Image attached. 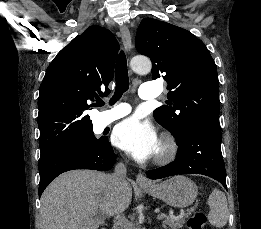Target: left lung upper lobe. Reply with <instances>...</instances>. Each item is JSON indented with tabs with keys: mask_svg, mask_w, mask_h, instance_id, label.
<instances>
[{
	"mask_svg": "<svg viewBox=\"0 0 261 229\" xmlns=\"http://www.w3.org/2000/svg\"><path fill=\"white\" fill-rule=\"evenodd\" d=\"M136 49L153 64L152 78L163 77L171 90L154 111L156 121L182 141L195 126L220 130L219 82L205 44L189 31L152 18L137 30Z\"/></svg>",
	"mask_w": 261,
	"mask_h": 229,
	"instance_id": "1",
	"label": "left lung upper lobe"
}]
</instances>
